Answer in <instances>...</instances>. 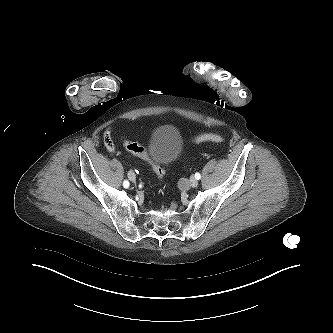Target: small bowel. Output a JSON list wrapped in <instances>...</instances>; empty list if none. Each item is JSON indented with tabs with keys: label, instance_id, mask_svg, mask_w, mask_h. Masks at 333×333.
I'll return each instance as SVG.
<instances>
[{
	"label": "small bowel",
	"instance_id": "1",
	"mask_svg": "<svg viewBox=\"0 0 333 333\" xmlns=\"http://www.w3.org/2000/svg\"><path fill=\"white\" fill-rule=\"evenodd\" d=\"M104 143L110 153L115 151V145L112 140V126H109L104 132Z\"/></svg>",
	"mask_w": 333,
	"mask_h": 333
}]
</instances>
